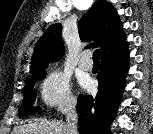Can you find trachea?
Listing matches in <instances>:
<instances>
[{
    "instance_id": "trachea-1",
    "label": "trachea",
    "mask_w": 153,
    "mask_h": 134,
    "mask_svg": "<svg viewBox=\"0 0 153 134\" xmlns=\"http://www.w3.org/2000/svg\"><path fill=\"white\" fill-rule=\"evenodd\" d=\"M93 61H100V49H96L93 52Z\"/></svg>"
}]
</instances>
